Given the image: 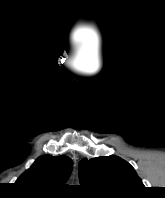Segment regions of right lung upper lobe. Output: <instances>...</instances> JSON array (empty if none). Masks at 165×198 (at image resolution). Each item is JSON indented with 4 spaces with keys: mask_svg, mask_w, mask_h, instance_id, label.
<instances>
[{
    "mask_svg": "<svg viewBox=\"0 0 165 198\" xmlns=\"http://www.w3.org/2000/svg\"><path fill=\"white\" fill-rule=\"evenodd\" d=\"M72 164V160L65 155L41 156L18 178L16 183L30 190H52L67 181Z\"/></svg>",
    "mask_w": 165,
    "mask_h": 198,
    "instance_id": "1",
    "label": "right lung upper lobe"
}]
</instances>
